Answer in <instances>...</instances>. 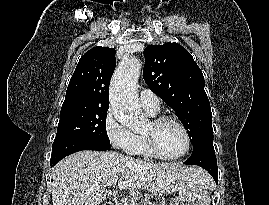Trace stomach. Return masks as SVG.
<instances>
[{
  "label": "stomach",
  "mask_w": 269,
  "mask_h": 205,
  "mask_svg": "<svg viewBox=\"0 0 269 205\" xmlns=\"http://www.w3.org/2000/svg\"><path fill=\"white\" fill-rule=\"evenodd\" d=\"M143 205H165V203L158 196L149 195L144 199ZM169 205H210V195L206 188L192 186L181 190Z\"/></svg>",
  "instance_id": "1"
}]
</instances>
